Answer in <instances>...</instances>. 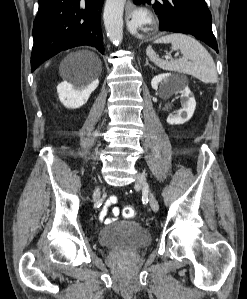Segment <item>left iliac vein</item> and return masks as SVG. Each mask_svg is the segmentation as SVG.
Returning a JSON list of instances; mask_svg holds the SVG:
<instances>
[{
  "instance_id": "obj_1",
  "label": "left iliac vein",
  "mask_w": 247,
  "mask_h": 299,
  "mask_svg": "<svg viewBox=\"0 0 247 299\" xmlns=\"http://www.w3.org/2000/svg\"><path fill=\"white\" fill-rule=\"evenodd\" d=\"M135 186L143 189L147 193V195L149 197V203H150L152 210L157 212L159 210L158 201H157L156 197L154 196V194L152 193L149 183L144 174L139 173L137 175L136 180H135Z\"/></svg>"
}]
</instances>
